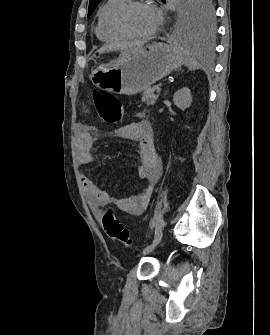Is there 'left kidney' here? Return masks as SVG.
I'll return each instance as SVG.
<instances>
[{
    "label": "left kidney",
    "mask_w": 270,
    "mask_h": 335,
    "mask_svg": "<svg viewBox=\"0 0 270 335\" xmlns=\"http://www.w3.org/2000/svg\"><path fill=\"white\" fill-rule=\"evenodd\" d=\"M173 102L177 108H180V110H186V108H189L192 102V96L189 88L177 90L173 96Z\"/></svg>",
    "instance_id": "left-kidney-1"
}]
</instances>
